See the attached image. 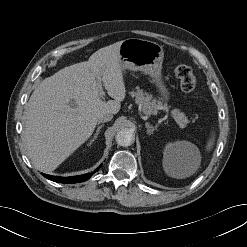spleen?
<instances>
[{
  "mask_svg": "<svg viewBox=\"0 0 247 247\" xmlns=\"http://www.w3.org/2000/svg\"><path fill=\"white\" fill-rule=\"evenodd\" d=\"M213 144H214V136L212 134V138L209 139L208 141V144H207V149L210 150L212 147H213ZM167 168H168V171L171 173V174H175L174 171H172V169H170V166L167 165ZM180 176V174L178 175ZM182 176V175H181Z\"/></svg>",
  "mask_w": 247,
  "mask_h": 247,
  "instance_id": "obj_1",
  "label": "spleen"
}]
</instances>
